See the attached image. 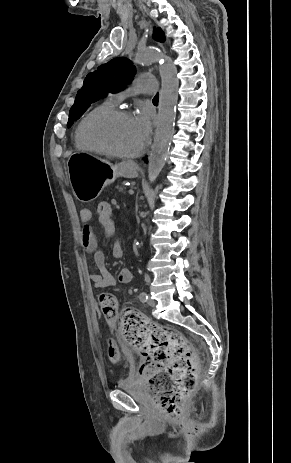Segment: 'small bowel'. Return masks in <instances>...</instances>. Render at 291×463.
<instances>
[{
  "label": "small bowel",
  "instance_id": "obj_1",
  "mask_svg": "<svg viewBox=\"0 0 291 463\" xmlns=\"http://www.w3.org/2000/svg\"><path fill=\"white\" fill-rule=\"evenodd\" d=\"M113 218V210L112 216ZM92 219V212L90 209L83 208L80 210V220L84 224L81 230V242L84 248L92 255L95 265L98 269V273H91L89 275L90 281L94 284L96 289H104L113 287L117 280L121 284H128L132 281L133 274L129 268H123L120 270L118 274V279H116L112 273L107 269L105 256L102 250L98 247L95 235L91 227L89 226V222ZM104 232L107 236H111L115 233V223L112 226H102ZM114 247H113V255L115 257H121L123 254V250L121 245L119 244V240H114Z\"/></svg>",
  "mask_w": 291,
  "mask_h": 463
}]
</instances>
